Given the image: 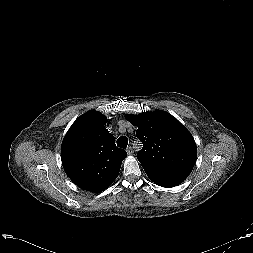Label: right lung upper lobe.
<instances>
[{
  "instance_id": "1",
  "label": "right lung upper lobe",
  "mask_w": 253,
  "mask_h": 253,
  "mask_svg": "<svg viewBox=\"0 0 253 253\" xmlns=\"http://www.w3.org/2000/svg\"><path fill=\"white\" fill-rule=\"evenodd\" d=\"M106 117L89 111L68 130L61 146V160L68 177L81 189L101 192L119 174L125 150L115 145L114 136L105 128Z\"/></svg>"
}]
</instances>
